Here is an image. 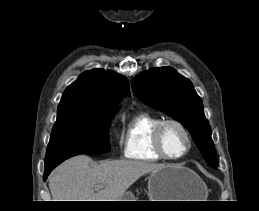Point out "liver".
Masks as SVG:
<instances>
[{
  "label": "liver",
  "mask_w": 259,
  "mask_h": 211,
  "mask_svg": "<svg viewBox=\"0 0 259 211\" xmlns=\"http://www.w3.org/2000/svg\"><path fill=\"white\" fill-rule=\"evenodd\" d=\"M164 167L138 160H104L99 164L86 155L60 164L49 177L53 201H119L142 175Z\"/></svg>",
  "instance_id": "liver-1"
}]
</instances>
